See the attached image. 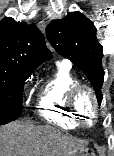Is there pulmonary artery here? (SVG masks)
<instances>
[{"label": "pulmonary artery", "instance_id": "e3ab8cb5", "mask_svg": "<svg viewBox=\"0 0 114 156\" xmlns=\"http://www.w3.org/2000/svg\"><path fill=\"white\" fill-rule=\"evenodd\" d=\"M62 63L66 64V65H70L69 61H67V60H63Z\"/></svg>", "mask_w": 114, "mask_h": 156}]
</instances>
